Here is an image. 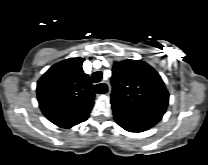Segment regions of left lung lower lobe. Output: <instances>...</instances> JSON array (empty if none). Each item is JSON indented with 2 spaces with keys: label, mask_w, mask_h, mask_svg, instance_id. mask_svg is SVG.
I'll list each match as a JSON object with an SVG mask.
<instances>
[{
  "label": "left lung lower lobe",
  "mask_w": 208,
  "mask_h": 165,
  "mask_svg": "<svg viewBox=\"0 0 208 165\" xmlns=\"http://www.w3.org/2000/svg\"><path fill=\"white\" fill-rule=\"evenodd\" d=\"M115 121L118 125H120L123 129L129 131V132H143L148 130L150 127L140 125V124H134L130 123L121 119L115 118Z\"/></svg>",
  "instance_id": "left-lung-lower-lobe-1"
}]
</instances>
